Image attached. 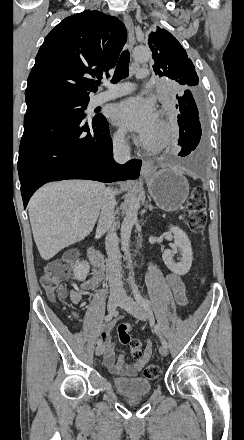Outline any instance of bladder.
<instances>
[{"instance_id":"1","label":"bladder","mask_w":244,"mask_h":440,"mask_svg":"<svg viewBox=\"0 0 244 440\" xmlns=\"http://www.w3.org/2000/svg\"><path fill=\"white\" fill-rule=\"evenodd\" d=\"M112 383L115 391L126 396L148 394L152 390V383L145 377H114Z\"/></svg>"}]
</instances>
